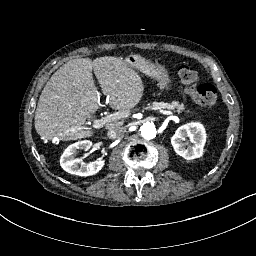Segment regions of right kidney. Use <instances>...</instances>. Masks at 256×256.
Wrapping results in <instances>:
<instances>
[{
    "mask_svg": "<svg viewBox=\"0 0 256 256\" xmlns=\"http://www.w3.org/2000/svg\"><path fill=\"white\" fill-rule=\"evenodd\" d=\"M92 147V142L83 140L76 142L66 148L60 158V165L64 171L78 176L96 175L105 165V159L99 158L94 162L83 163L82 159L75 158L79 151H88Z\"/></svg>",
    "mask_w": 256,
    "mask_h": 256,
    "instance_id": "1",
    "label": "right kidney"
}]
</instances>
